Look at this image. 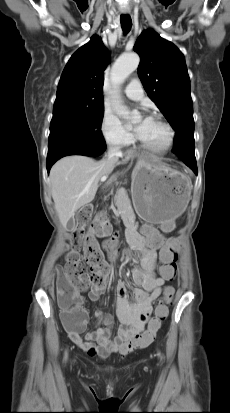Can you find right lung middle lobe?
<instances>
[{
  "instance_id": "1",
  "label": "right lung middle lobe",
  "mask_w": 230,
  "mask_h": 413,
  "mask_svg": "<svg viewBox=\"0 0 230 413\" xmlns=\"http://www.w3.org/2000/svg\"><path fill=\"white\" fill-rule=\"evenodd\" d=\"M104 109L53 113L48 156L70 147H104L101 132Z\"/></svg>"
}]
</instances>
